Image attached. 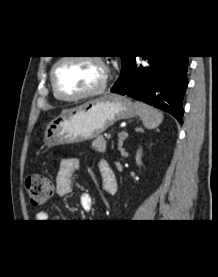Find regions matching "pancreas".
<instances>
[{
  "instance_id": "1",
  "label": "pancreas",
  "mask_w": 218,
  "mask_h": 277,
  "mask_svg": "<svg viewBox=\"0 0 218 277\" xmlns=\"http://www.w3.org/2000/svg\"><path fill=\"white\" fill-rule=\"evenodd\" d=\"M107 141L102 137L98 136L93 142L92 147L99 153H104L106 150Z\"/></svg>"
}]
</instances>
